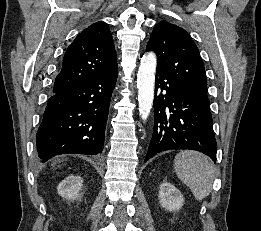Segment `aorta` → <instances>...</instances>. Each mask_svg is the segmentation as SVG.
I'll return each mask as SVG.
<instances>
[{
  "label": "aorta",
  "instance_id": "1",
  "mask_svg": "<svg viewBox=\"0 0 261 231\" xmlns=\"http://www.w3.org/2000/svg\"><path fill=\"white\" fill-rule=\"evenodd\" d=\"M156 66L157 58L153 52L142 57L138 70L137 87L139 115L143 120L148 118L153 105Z\"/></svg>",
  "mask_w": 261,
  "mask_h": 231
}]
</instances>
